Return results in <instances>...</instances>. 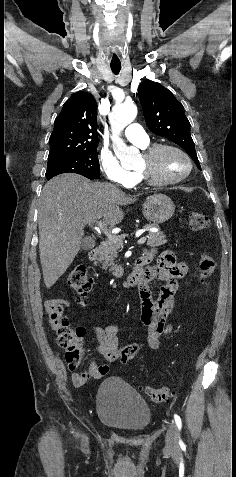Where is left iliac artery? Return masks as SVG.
Returning <instances> with one entry per match:
<instances>
[{"instance_id":"obj_1","label":"left iliac artery","mask_w":236,"mask_h":477,"mask_svg":"<svg viewBox=\"0 0 236 477\" xmlns=\"http://www.w3.org/2000/svg\"><path fill=\"white\" fill-rule=\"evenodd\" d=\"M174 420H175V423H176V425H177L178 429H179V430H181V427H182V421H181V418H180V417H179L177 414H175V415H174ZM179 443L181 444V443H182V441H181V440H179Z\"/></svg>"}]
</instances>
